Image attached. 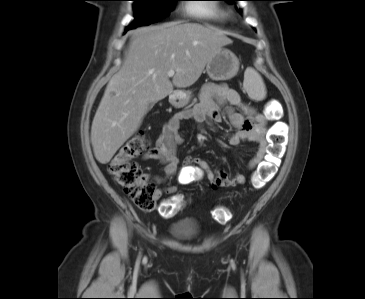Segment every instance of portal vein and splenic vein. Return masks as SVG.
Listing matches in <instances>:
<instances>
[{
  "mask_svg": "<svg viewBox=\"0 0 365 299\" xmlns=\"http://www.w3.org/2000/svg\"><path fill=\"white\" fill-rule=\"evenodd\" d=\"M174 75H175V71L174 70L168 71V76L169 77H173Z\"/></svg>",
  "mask_w": 365,
  "mask_h": 299,
  "instance_id": "1",
  "label": "portal vein and splenic vein"
}]
</instances>
